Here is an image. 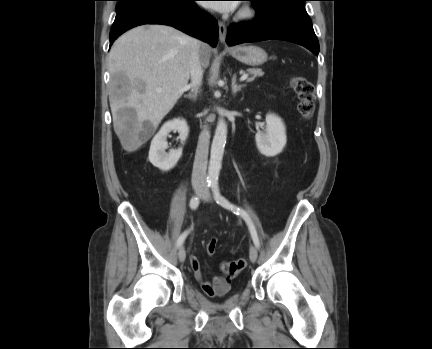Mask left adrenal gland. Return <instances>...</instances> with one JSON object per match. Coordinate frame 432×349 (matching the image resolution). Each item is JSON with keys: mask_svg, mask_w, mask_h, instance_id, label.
Instances as JSON below:
<instances>
[{"mask_svg": "<svg viewBox=\"0 0 432 349\" xmlns=\"http://www.w3.org/2000/svg\"><path fill=\"white\" fill-rule=\"evenodd\" d=\"M246 85L245 84H241V85H237L236 84V76L234 75L232 78V93L235 95L237 92L241 91L242 88H244Z\"/></svg>", "mask_w": 432, "mask_h": 349, "instance_id": "a2214340", "label": "left adrenal gland"}]
</instances>
